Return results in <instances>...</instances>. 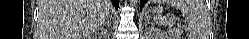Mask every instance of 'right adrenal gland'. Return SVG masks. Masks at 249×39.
Returning a JSON list of instances; mask_svg holds the SVG:
<instances>
[{
  "instance_id": "obj_1",
  "label": "right adrenal gland",
  "mask_w": 249,
  "mask_h": 39,
  "mask_svg": "<svg viewBox=\"0 0 249 39\" xmlns=\"http://www.w3.org/2000/svg\"><path fill=\"white\" fill-rule=\"evenodd\" d=\"M107 24V22L105 21L102 25H101V30H103L104 26Z\"/></svg>"
}]
</instances>
